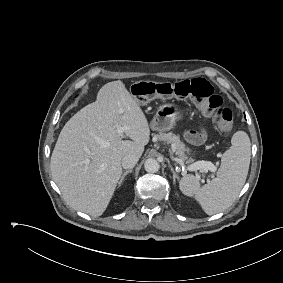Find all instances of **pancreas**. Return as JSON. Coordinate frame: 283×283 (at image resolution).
<instances>
[{"mask_svg":"<svg viewBox=\"0 0 283 283\" xmlns=\"http://www.w3.org/2000/svg\"><path fill=\"white\" fill-rule=\"evenodd\" d=\"M158 139L164 141L168 144H171L173 149L175 150L176 155L183 161L191 162L192 160L187 158L185 151H189L188 148L185 147V144L180 140L179 136L170 133H160L158 135Z\"/></svg>","mask_w":283,"mask_h":283,"instance_id":"cf45deb5","label":"pancreas"}]
</instances>
